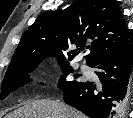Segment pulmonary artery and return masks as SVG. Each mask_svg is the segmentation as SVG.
Listing matches in <instances>:
<instances>
[{
	"label": "pulmonary artery",
	"instance_id": "1",
	"mask_svg": "<svg viewBox=\"0 0 133 118\" xmlns=\"http://www.w3.org/2000/svg\"><path fill=\"white\" fill-rule=\"evenodd\" d=\"M81 70L85 73L91 74V70L89 69V67L85 64L81 65Z\"/></svg>",
	"mask_w": 133,
	"mask_h": 118
}]
</instances>
